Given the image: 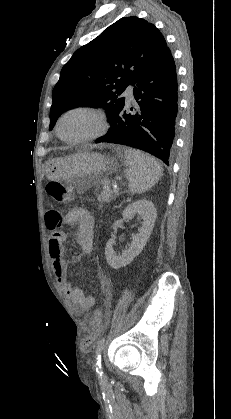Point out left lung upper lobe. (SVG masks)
I'll return each instance as SVG.
<instances>
[{"label":"left lung upper lobe","instance_id":"5c2ea615","mask_svg":"<svg viewBox=\"0 0 231 419\" xmlns=\"http://www.w3.org/2000/svg\"><path fill=\"white\" fill-rule=\"evenodd\" d=\"M169 50L153 24L135 16L119 19L63 66L52 92L49 130L63 112L82 105L104 107L111 121L125 103L121 93Z\"/></svg>","mask_w":231,"mask_h":419}]
</instances>
